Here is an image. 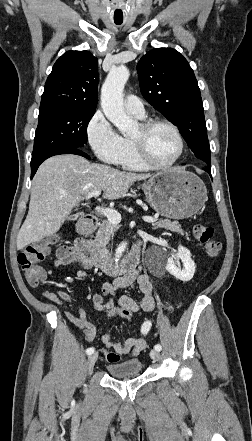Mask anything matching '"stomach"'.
<instances>
[{"label": "stomach", "mask_w": 252, "mask_h": 441, "mask_svg": "<svg viewBox=\"0 0 252 441\" xmlns=\"http://www.w3.org/2000/svg\"><path fill=\"white\" fill-rule=\"evenodd\" d=\"M141 189L155 211L175 220L193 216L207 199L203 181L197 175L178 167L155 174Z\"/></svg>", "instance_id": "0dacf381"}]
</instances>
